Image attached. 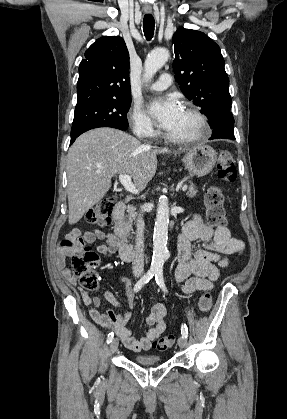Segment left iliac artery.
I'll use <instances>...</instances> for the list:
<instances>
[{"mask_svg": "<svg viewBox=\"0 0 287 419\" xmlns=\"http://www.w3.org/2000/svg\"><path fill=\"white\" fill-rule=\"evenodd\" d=\"M155 280L157 285L162 289L163 292L167 293V288L164 282V276H163V271L162 270H157L156 274H155ZM181 334L183 337L187 338L188 337V329L186 325H182L181 327Z\"/></svg>", "mask_w": 287, "mask_h": 419, "instance_id": "1", "label": "left iliac artery"}]
</instances>
